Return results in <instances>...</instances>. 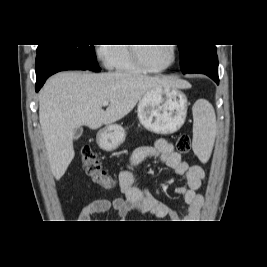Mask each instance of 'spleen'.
<instances>
[{
  "label": "spleen",
  "mask_w": 267,
  "mask_h": 267,
  "mask_svg": "<svg viewBox=\"0 0 267 267\" xmlns=\"http://www.w3.org/2000/svg\"><path fill=\"white\" fill-rule=\"evenodd\" d=\"M216 134V116L213 108L205 104L195 114L193 126L192 147L199 159L203 162L209 159Z\"/></svg>",
  "instance_id": "obj_1"
}]
</instances>
